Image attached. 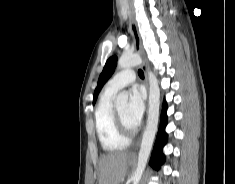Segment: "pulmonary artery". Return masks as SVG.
<instances>
[{
  "label": "pulmonary artery",
  "mask_w": 235,
  "mask_h": 184,
  "mask_svg": "<svg viewBox=\"0 0 235 184\" xmlns=\"http://www.w3.org/2000/svg\"><path fill=\"white\" fill-rule=\"evenodd\" d=\"M136 80V73L132 69L120 71L115 74L106 84L105 91L114 94L120 89L133 84Z\"/></svg>",
  "instance_id": "obj_1"
}]
</instances>
